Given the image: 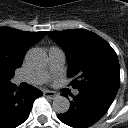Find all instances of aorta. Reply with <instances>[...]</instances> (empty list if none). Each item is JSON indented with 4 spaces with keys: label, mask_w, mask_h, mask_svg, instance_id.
Wrapping results in <instances>:
<instances>
[{
    "label": "aorta",
    "mask_w": 128,
    "mask_h": 128,
    "mask_svg": "<svg viewBox=\"0 0 128 128\" xmlns=\"http://www.w3.org/2000/svg\"><path fill=\"white\" fill-rule=\"evenodd\" d=\"M26 63L33 68H41L46 65L47 55L40 48H32L25 55ZM53 110L58 114L66 113L70 108L69 100L64 96H55L52 104Z\"/></svg>",
    "instance_id": "1"
}]
</instances>
